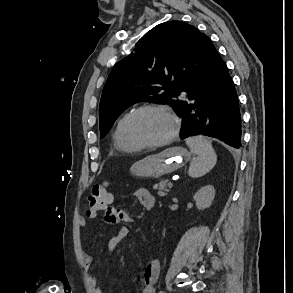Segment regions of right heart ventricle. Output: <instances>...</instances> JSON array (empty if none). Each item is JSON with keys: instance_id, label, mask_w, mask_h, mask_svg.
<instances>
[{"instance_id": "obj_1", "label": "right heart ventricle", "mask_w": 293, "mask_h": 293, "mask_svg": "<svg viewBox=\"0 0 293 293\" xmlns=\"http://www.w3.org/2000/svg\"><path fill=\"white\" fill-rule=\"evenodd\" d=\"M129 113L124 114L121 116L118 121L115 124L113 134H112V139L114 146L117 150L121 152H135L138 151L140 148L136 147L134 145L129 144L124 136V124L126 121V118Z\"/></svg>"}]
</instances>
